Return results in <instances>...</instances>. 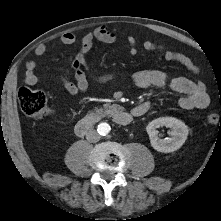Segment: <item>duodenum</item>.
I'll use <instances>...</instances> for the list:
<instances>
[{
  "mask_svg": "<svg viewBox=\"0 0 221 221\" xmlns=\"http://www.w3.org/2000/svg\"><path fill=\"white\" fill-rule=\"evenodd\" d=\"M150 108L149 104H141L136 107L135 112H125L119 108H112L107 112H93L82 118L75 125V134L77 136H84L94 126L97 119L102 115H108L116 124L120 126H127L132 123L134 117L144 115Z\"/></svg>",
  "mask_w": 221,
  "mask_h": 221,
  "instance_id": "duodenum-1",
  "label": "duodenum"
}]
</instances>
